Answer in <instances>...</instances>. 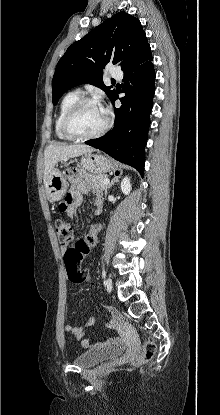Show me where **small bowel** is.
Here are the masks:
<instances>
[{
    "mask_svg": "<svg viewBox=\"0 0 220 415\" xmlns=\"http://www.w3.org/2000/svg\"><path fill=\"white\" fill-rule=\"evenodd\" d=\"M90 190V188L84 184L83 182H76L74 184V189L71 190L66 197V203L64 206L65 211L67 212L68 216L75 217L77 209L80 207L83 201V196ZM95 194V199L93 201V213L95 215H99L102 212V201L100 192L97 190H93ZM101 225L94 224L87 235L83 238L86 243L89 245L90 249H92L98 240V236L101 232ZM62 252H65V248H61ZM95 320L93 318H88L85 322L86 326L94 325ZM66 330L73 334L75 338L80 341L81 345L86 349H103L106 347L113 346L117 344L116 340L108 339L106 341H98L92 343L90 339L85 336L84 328L81 326L68 324L66 325Z\"/></svg>",
    "mask_w": 220,
    "mask_h": 415,
    "instance_id": "1",
    "label": "small bowel"
}]
</instances>
